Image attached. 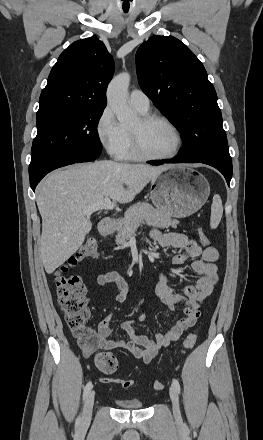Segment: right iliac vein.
I'll use <instances>...</instances> for the list:
<instances>
[{"label":"right iliac vein","mask_w":263,"mask_h":440,"mask_svg":"<svg viewBox=\"0 0 263 440\" xmlns=\"http://www.w3.org/2000/svg\"><path fill=\"white\" fill-rule=\"evenodd\" d=\"M94 392H90L85 400L82 416H81V426L86 428L89 426L92 418V411L94 405Z\"/></svg>","instance_id":"obj_1"}]
</instances>
